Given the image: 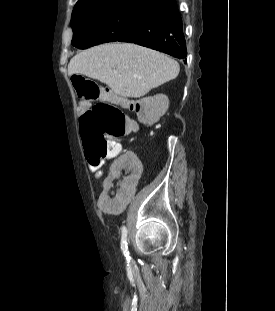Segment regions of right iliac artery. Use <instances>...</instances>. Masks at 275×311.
Here are the masks:
<instances>
[{
  "label": "right iliac artery",
  "mask_w": 275,
  "mask_h": 311,
  "mask_svg": "<svg viewBox=\"0 0 275 311\" xmlns=\"http://www.w3.org/2000/svg\"><path fill=\"white\" fill-rule=\"evenodd\" d=\"M121 231H122L121 250L123 251L124 256L126 257V259L129 262L131 257L129 256L128 244H127V228L125 226H122Z\"/></svg>",
  "instance_id": "right-iliac-artery-1"
}]
</instances>
